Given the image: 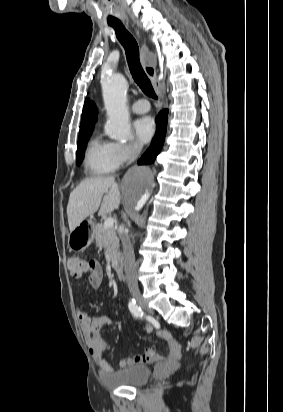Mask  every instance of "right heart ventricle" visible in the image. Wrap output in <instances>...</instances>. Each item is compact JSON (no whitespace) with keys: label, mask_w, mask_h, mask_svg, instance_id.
Wrapping results in <instances>:
<instances>
[{"label":"right heart ventricle","mask_w":283,"mask_h":412,"mask_svg":"<svg viewBox=\"0 0 283 412\" xmlns=\"http://www.w3.org/2000/svg\"><path fill=\"white\" fill-rule=\"evenodd\" d=\"M85 166L94 175L115 171L119 165L113 157V143L94 137L85 152Z\"/></svg>","instance_id":"e07e8e85"}]
</instances>
